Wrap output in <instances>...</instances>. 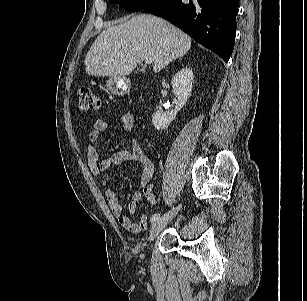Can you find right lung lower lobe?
<instances>
[{
	"label": "right lung lower lobe",
	"mask_w": 307,
	"mask_h": 301,
	"mask_svg": "<svg viewBox=\"0 0 307 301\" xmlns=\"http://www.w3.org/2000/svg\"><path fill=\"white\" fill-rule=\"evenodd\" d=\"M142 11L170 21L228 62L234 48L238 0H158Z\"/></svg>",
	"instance_id": "98d812e1"
}]
</instances>
